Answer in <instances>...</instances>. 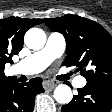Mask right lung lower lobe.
<instances>
[{
    "label": "right lung lower lobe",
    "mask_w": 112,
    "mask_h": 112,
    "mask_svg": "<svg viewBox=\"0 0 112 112\" xmlns=\"http://www.w3.org/2000/svg\"><path fill=\"white\" fill-rule=\"evenodd\" d=\"M41 92H44L41 78L25 84L11 80L0 90V112H32L35 96Z\"/></svg>",
    "instance_id": "98d812e1"
}]
</instances>
